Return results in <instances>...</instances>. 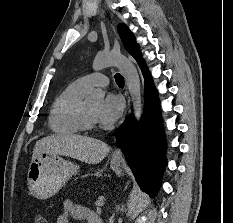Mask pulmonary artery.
I'll list each match as a JSON object with an SVG mask.
<instances>
[{
  "mask_svg": "<svg viewBox=\"0 0 233 223\" xmlns=\"http://www.w3.org/2000/svg\"><path fill=\"white\" fill-rule=\"evenodd\" d=\"M79 81L86 89H89L95 85L106 86L108 84V77L101 73H91L82 76Z\"/></svg>",
  "mask_w": 233,
  "mask_h": 223,
  "instance_id": "obj_1",
  "label": "pulmonary artery"
}]
</instances>
